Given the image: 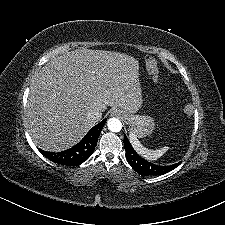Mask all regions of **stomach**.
Listing matches in <instances>:
<instances>
[{
    "instance_id": "0dacf381",
    "label": "stomach",
    "mask_w": 225,
    "mask_h": 225,
    "mask_svg": "<svg viewBox=\"0 0 225 225\" xmlns=\"http://www.w3.org/2000/svg\"><path fill=\"white\" fill-rule=\"evenodd\" d=\"M125 122L129 125L131 133L135 134L139 138L150 135L154 130V120L150 116L137 115L126 110H120Z\"/></svg>"
}]
</instances>
